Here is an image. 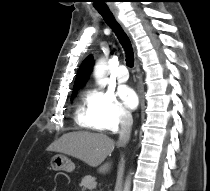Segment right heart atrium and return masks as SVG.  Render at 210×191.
Masks as SVG:
<instances>
[{
    "mask_svg": "<svg viewBox=\"0 0 210 191\" xmlns=\"http://www.w3.org/2000/svg\"><path fill=\"white\" fill-rule=\"evenodd\" d=\"M88 102L102 130L115 132L131 121L130 112L112 91L94 90L90 93Z\"/></svg>",
    "mask_w": 210,
    "mask_h": 191,
    "instance_id": "1",
    "label": "right heart atrium"
}]
</instances>
